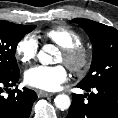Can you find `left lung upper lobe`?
<instances>
[{
    "label": "left lung upper lobe",
    "mask_w": 118,
    "mask_h": 118,
    "mask_svg": "<svg viewBox=\"0 0 118 118\" xmlns=\"http://www.w3.org/2000/svg\"><path fill=\"white\" fill-rule=\"evenodd\" d=\"M88 34L93 45V58L88 75L81 85L93 87L118 81V30L83 18L73 19Z\"/></svg>",
    "instance_id": "1"
}]
</instances>
